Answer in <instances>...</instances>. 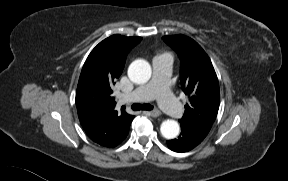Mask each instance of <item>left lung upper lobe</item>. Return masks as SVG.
Here are the masks:
<instances>
[{"label": "left lung upper lobe", "mask_w": 288, "mask_h": 181, "mask_svg": "<svg viewBox=\"0 0 288 181\" xmlns=\"http://www.w3.org/2000/svg\"><path fill=\"white\" fill-rule=\"evenodd\" d=\"M181 59V84L190 103L179 122L194 124L211 129L217 116L220 92L218 79L212 63L193 39L184 35L164 36Z\"/></svg>", "instance_id": "left-lung-upper-lobe-1"}]
</instances>
